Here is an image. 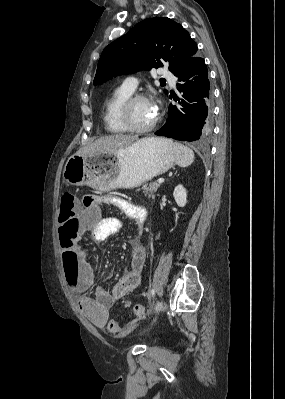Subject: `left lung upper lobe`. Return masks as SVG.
<instances>
[{
	"label": "left lung upper lobe",
	"mask_w": 285,
	"mask_h": 399,
	"mask_svg": "<svg viewBox=\"0 0 285 399\" xmlns=\"http://www.w3.org/2000/svg\"><path fill=\"white\" fill-rule=\"evenodd\" d=\"M189 33L169 18H149L105 47L99 59L94 85L113 76L168 65L174 74L197 52ZM167 94V91H165Z\"/></svg>",
	"instance_id": "obj_1"
}]
</instances>
